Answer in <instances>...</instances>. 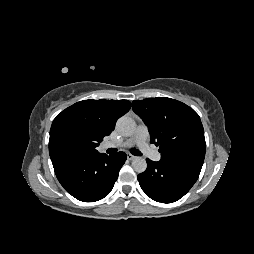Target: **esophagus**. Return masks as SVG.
I'll return each instance as SVG.
<instances>
[{
  "mask_svg": "<svg viewBox=\"0 0 254 254\" xmlns=\"http://www.w3.org/2000/svg\"><path fill=\"white\" fill-rule=\"evenodd\" d=\"M136 158V156H134V155H132V154H127V159L128 160H133V159H135Z\"/></svg>",
  "mask_w": 254,
  "mask_h": 254,
  "instance_id": "1",
  "label": "esophagus"
}]
</instances>
